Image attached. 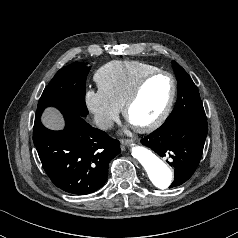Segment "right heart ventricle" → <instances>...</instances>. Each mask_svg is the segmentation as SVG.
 Returning <instances> with one entry per match:
<instances>
[{
  "label": "right heart ventricle",
  "mask_w": 238,
  "mask_h": 238,
  "mask_svg": "<svg viewBox=\"0 0 238 238\" xmlns=\"http://www.w3.org/2000/svg\"><path fill=\"white\" fill-rule=\"evenodd\" d=\"M156 70L144 62L111 61L97 70L94 79L99 91L120 109L137 82Z\"/></svg>",
  "instance_id": "obj_1"
}]
</instances>
